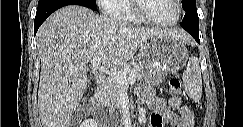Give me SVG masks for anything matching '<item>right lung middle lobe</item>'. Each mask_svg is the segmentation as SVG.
I'll use <instances>...</instances> for the list:
<instances>
[{
    "label": "right lung middle lobe",
    "instance_id": "1",
    "mask_svg": "<svg viewBox=\"0 0 243 127\" xmlns=\"http://www.w3.org/2000/svg\"><path fill=\"white\" fill-rule=\"evenodd\" d=\"M42 1L44 0H39L38 3ZM83 2L88 6V8H91L92 10H96V2L94 0H83Z\"/></svg>",
    "mask_w": 243,
    "mask_h": 127
}]
</instances>
